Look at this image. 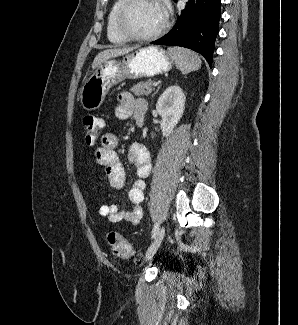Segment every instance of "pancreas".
Here are the masks:
<instances>
[{"label":"pancreas","instance_id":"pancreas-1","mask_svg":"<svg viewBox=\"0 0 298 325\" xmlns=\"http://www.w3.org/2000/svg\"><path fill=\"white\" fill-rule=\"evenodd\" d=\"M130 90L135 96H148V94H151L152 90H154L153 80H151V78H148V80H141V82L133 84Z\"/></svg>","mask_w":298,"mask_h":325}]
</instances>
